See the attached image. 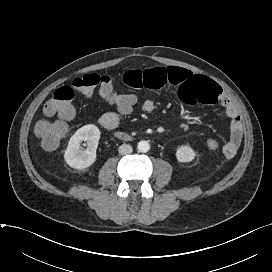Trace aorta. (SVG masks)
Instances as JSON below:
<instances>
[{"instance_id": "obj_1", "label": "aorta", "mask_w": 272, "mask_h": 272, "mask_svg": "<svg viewBox=\"0 0 272 272\" xmlns=\"http://www.w3.org/2000/svg\"><path fill=\"white\" fill-rule=\"evenodd\" d=\"M137 149L140 152H148L150 149V144L147 141H140L137 145Z\"/></svg>"}]
</instances>
